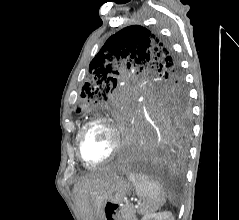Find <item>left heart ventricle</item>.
<instances>
[{"mask_svg":"<svg viewBox=\"0 0 239 220\" xmlns=\"http://www.w3.org/2000/svg\"><path fill=\"white\" fill-rule=\"evenodd\" d=\"M114 137L105 125H95L85 134L82 142V152L89 161H99L107 157L113 148Z\"/></svg>","mask_w":239,"mask_h":220,"instance_id":"left-heart-ventricle-1","label":"left heart ventricle"}]
</instances>
